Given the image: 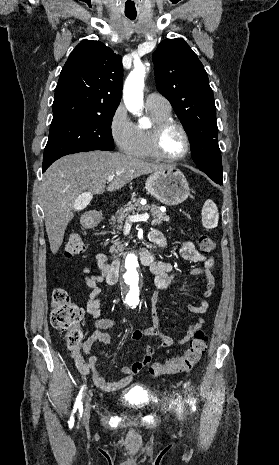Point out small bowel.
<instances>
[{
	"label": "small bowel",
	"mask_w": 279,
	"mask_h": 465,
	"mask_svg": "<svg viewBox=\"0 0 279 465\" xmlns=\"http://www.w3.org/2000/svg\"><path fill=\"white\" fill-rule=\"evenodd\" d=\"M149 237L150 241L158 248L163 249L166 247L168 238L162 232L153 230ZM179 253L185 260L195 263H203V268L193 269L192 274L203 276L205 282L204 297L209 298L212 295L215 286L214 270L216 268V260L214 256L198 251L194 243L188 240L181 243ZM96 266L98 273L86 278V284L90 288L86 309L87 312L96 319L95 325L99 330L94 331L85 340L83 344V355L90 354L95 342H100L105 346L110 345L111 340L109 335L101 330L109 329L114 326V320L112 318L103 317L101 312V288L99 284L103 281L108 282V273L111 267V264L108 262V258L105 254H97ZM150 270L154 275L155 284L160 290L170 289L173 283L174 274V266L171 263L166 261H153L150 265ZM208 306L209 304L205 299L199 304H189L188 308L193 313L204 314L207 311ZM151 317L153 319V325L135 330L131 334V339L133 341H139L144 336H155L159 341L156 344L146 345L144 347V354L139 360L123 366L121 369V372L123 373L122 378L116 381H106L96 366L98 361L97 356L91 355L86 361L83 355L78 353L73 355V359L79 373L82 375L91 374L95 386L106 392L117 391L131 384L134 376L150 364L157 349L167 348L173 344L172 337L163 330L159 322L155 301L152 302ZM204 324L205 319L203 317H199L196 323L188 326L186 334L178 340V343L181 345L187 343L194 336L195 332L200 330Z\"/></svg>",
	"instance_id": "c3829d8e"
}]
</instances>
